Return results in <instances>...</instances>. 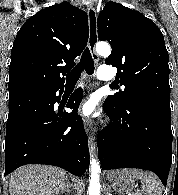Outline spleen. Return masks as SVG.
I'll return each instance as SVG.
<instances>
[{
  "mask_svg": "<svg viewBox=\"0 0 178 195\" xmlns=\"http://www.w3.org/2000/svg\"><path fill=\"white\" fill-rule=\"evenodd\" d=\"M124 172L135 180H141L145 195H162L161 182L155 174L138 169H125Z\"/></svg>",
  "mask_w": 178,
  "mask_h": 195,
  "instance_id": "3e777b00",
  "label": "spleen"
}]
</instances>
